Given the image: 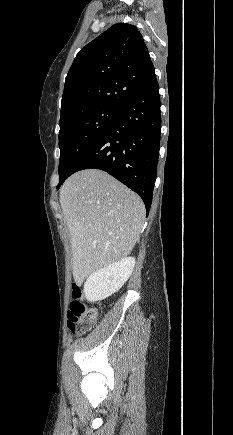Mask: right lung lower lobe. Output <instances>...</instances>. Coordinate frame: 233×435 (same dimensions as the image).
<instances>
[{
    "label": "right lung lower lobe",
    "instance_id": "right-lung-lower-lobe-1",
    "mask_svg": "<svg viewBox=\"0 0 233 435\" xmlns=\"http://www.w3.org/2000/svg\"><path fill=\"white\" fill-rule=\"evenodd\" d=\"M156 77L133 95L100 138L75 162L57 189L73 173L101 169L135 191L148 214L159 157L161 111Z\"/></svg>",
    "mask_w": 233,
    "mask_h": 435
}]
</instances>
